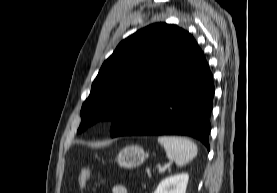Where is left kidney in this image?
I'll use <instances>...</instances> for the list:
<instances>
[{
	"instance_id": "obj_1",
	"label": "left kidney",
	"mask_w": 277,
	"mask_h": 193,
	"mask_svg": "<svg viewBox=\"0 0 277 193\" xmlns=\"http://www.w3.org/2000/svg\"><path fill=\"white\" fill-rule=\"evenodd\" d=\"M188 180L187 173L167 177L159 183L154 193H185Z\"/></svg>"
}]
</instances>
